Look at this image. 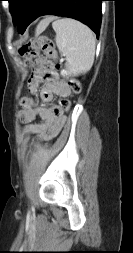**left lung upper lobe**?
Here are the masks:
<instances>
[{"mask_svg":"<svg viewBox=\"0 0 133 253\" xmlns=\"http://www.w3.org/2000/svg\"><path fill=\"white\" fill-rule=\"evenodd\" d=\"M9 2V9L13 17V23L16 26L20 19V15L27 0H7Z\"/></svg>","mask_w":133,"mask_h":253,"instance_id":"5c2ea615","label":"left lung upper lobe"}]
</instances>
